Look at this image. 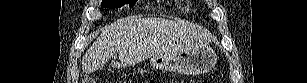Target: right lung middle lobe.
I'll use <instances>...</instances> for the list:
<instances>
[{"mask_svg": "<svg viewBox=\"0 0 307 83\" xmlns=\"http://www.w3.org/2000/svg\"><path fill=\"white\" fill-rule=\"evenodd\" d=\"M137 0H104L102 1V7H121L124 4H129L132 7Z\"/></svg>", "mask_w": 307, "mask_h": 83, "instance_id": "dd1d6c3e", "label": "right lung middle lobe"}]
</instances>
